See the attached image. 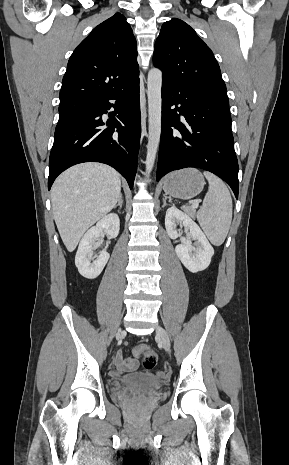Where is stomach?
<instances>
[{
  "mask_svg": "<svg viewBox=\"0 0 289 465\" xmlns=\"http://www.w3.org/2000/svg\"><path fill=\"white\" fill-rule=\"evenodd\" d=\"M204 185V177L199 170L186 168L165 177L163 190L175 198L191 199L203 190Z\"/></svg>",
  "mask_w": 289,
  "mask_h": 465,
  "instance_id": "stomach-1",
  "label": "stomach"
}]
</instances>
